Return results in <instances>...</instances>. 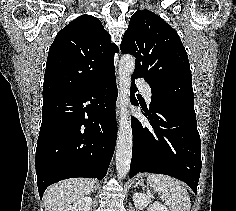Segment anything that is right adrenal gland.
<instances>
[{
    "label": "right adrenal gland",
    "instance_id": "right-adrenal-gland-1",
    "mask_svg": "<svg viewBox=\"0 0 236 211\" xmlns=\"http://www.w3.org/2000/svg\"><path fill=\"white\" fill-rule=\"evenodd\" d=\"M94 190L96 191V186L95 185L93 186V189H92L91 192H94Z\"/></svg>",
    "mask_w": 236,
    "mask_h": 211
}]
</instances>
